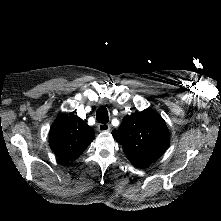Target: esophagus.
<instances>
[{"label":"esophagus","mask_w":221,"mask_h":221,"mask_svg":"<svg viewBox=\"0 0 221 221\" xmlns=\"http://www.w3.org/2000/svg\"><path fill=\"white\" fill-rule=\"evenodd\" d=\"M98 131L99 132H109L110 131V125L109 124H99L98 125Z\"/></svg>","instance_id":"obj_1"}]
</instances>
